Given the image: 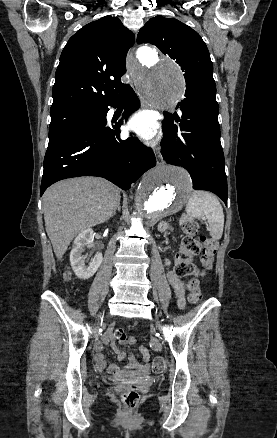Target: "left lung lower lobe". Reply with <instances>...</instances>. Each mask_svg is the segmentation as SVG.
I'll return each instance as SVG.
<instances>
[{
    "label": "left lung lower lobe",
    "mask_w": 277,
    "mask_h": 438,
    "mask_svg": "<svg viewBox=\"0 0 277 438\" xmlns=\"http://www.w3.org/2000/svg\"><path fill=\"white\" fill-rule=\"evenodd\" d=\"M179 105L181 119L171 114L163 121V158L168 164L187 169L195 190L211 191L227 205V179L216 98L192 97L182 100Z\"/></svg>",
    "instance_id": "1"
}]
</instances>
